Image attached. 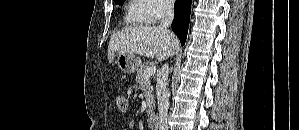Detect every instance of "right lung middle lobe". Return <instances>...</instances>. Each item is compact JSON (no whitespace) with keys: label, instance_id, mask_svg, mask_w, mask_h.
I'll return each instance as SVG.
<instances>
[{"label":"right lung middle lobe","instance_id":"1","mask_svg":"<svg viewBox=\"0 0 299 130\" xmlns=\"http://www.w3.org/2000/svg\"><path fill=\"white\" fill-rule=\"evenodd\" d=\"M124 2H125V0H118L115 3L120 5V4H123Z\"/></svg>","mask_w":299,"mask_h":130}]
</instances>
